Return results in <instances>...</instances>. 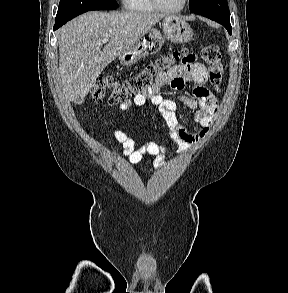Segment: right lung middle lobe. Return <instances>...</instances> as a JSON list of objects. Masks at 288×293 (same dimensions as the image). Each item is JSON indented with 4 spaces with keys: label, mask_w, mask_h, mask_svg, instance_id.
<instances>
[{
    "label": "right lung middle lobe",
    "mask_w": 288,
    "mask_h": 293,
    "mask_svg": "<svg viewBox=\"0 0 288 293\" xmlns=\"http://www.w3.org/2000/svg\"><path fill=\"white\" fill-rule=\"evenodd\" d=\"M116 0H60L55 26H62L72 18L90 10L116 9Z\"/></svg>",
    "instance_id": "1"
}]
</instances>
